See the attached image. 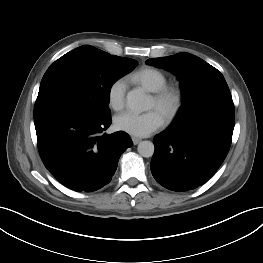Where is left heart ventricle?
Here are the masks:
<instances>
[{
	"label": "left heart ventricle",
	"instance_id": "b2bd125f",
	"mask_svg": "<svg viewBox=\"0 0 263 263\" xmlns=\"http://www.w3.org/2000/svg\"><path fill=\"white\" fill-rule=\"evenodd\" d=\"M150 108H156L155 101L153 98L151 99V102H150Z\"/></svg>",
	"mask_w": 263,
	"mask_h": 263
}]
</instances>
